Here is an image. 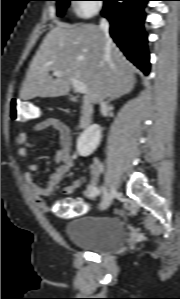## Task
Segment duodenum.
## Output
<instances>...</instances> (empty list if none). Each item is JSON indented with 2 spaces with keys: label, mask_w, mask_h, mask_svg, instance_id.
Segmentation results:
<instances>
[{
  "label": "duodenum",
  "mask_w": 180,
  "mask_h": 299,
  "mask_svg": "<svg viewBox=\"0 0 180 299\" xmlns=\"http://www.w3.org/2000/svg\"><path fill=\"white\" fill-rule=\"evenodd\" d=\"M93 118V108L89 102H83L79 118V125L85 129L90 126Z\"/></svg>",
  "instance_id": "410a0bca"
}]
</instances>
